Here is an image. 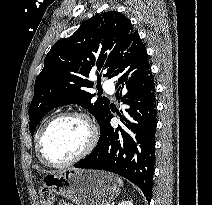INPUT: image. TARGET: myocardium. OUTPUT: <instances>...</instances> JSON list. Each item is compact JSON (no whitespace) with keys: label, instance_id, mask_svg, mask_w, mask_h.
Returning <instances> with one entry per match:
<instances>
[{"label":"myocardium","instance_id":"myocardium-1","mask_svg":"<svg viewBox=\"0 0 212 205\" xmlns=\"http://www.w3.org/2000/svg\"><path fill=\"white\" fill-rule=\"evenodd\" d=\"M64 118L81 119L88 128L89 138H88L87 144L85 145L84 149L79 154H77L73 158H71L67 161H64V162H54V161L50 160L44 152L43 138H44L46 131L53 123H55L56 121H58L60 119H64ZM98 139H99V131H98L97 125L95 124V122L92 120V118L88 114H86L82 111H66V112H62V113H59V114L53 116L43 125V127L41 128V130L38 134V137H37V150H38L40 158L46 164L53 166V167H66V166L75 164L76 162L87 157L96 147Z\"/></svg>","mask_w":212,"mask_h":205}]
</instances>
